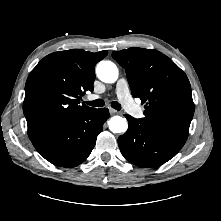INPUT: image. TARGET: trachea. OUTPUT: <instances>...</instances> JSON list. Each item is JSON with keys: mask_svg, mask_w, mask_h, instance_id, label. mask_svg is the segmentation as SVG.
Returning <instances> with one entry per match:
<instances>
[{"mask_svg": "<svg viewBox=\"0 0 221 221\" xmlns=\"http://www.w3.org/2000/svg\"><path fill=\"white\" fill-rule=\"evenodd\" d=\"M86 104L93 106V107H103L104 106V101L102 99H96L94 101H89L86 102ZM111 107L116 109V110H120L121 109V105L117 102V101H113L111 103Z\"/></svg>", "mask_w": 221, "mask_h": 221, "instance_id": "trachea-1", "label": "trachea"}]
</instances>
